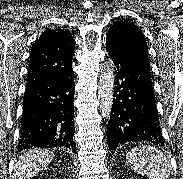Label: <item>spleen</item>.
<instances>
[{"label":"spleen","mask_w":183,"mask_h":179,"mask_svg":"<svg viewBox=\"0 0 183 179\" xmlns=\"http://www.w3.org/2000/svg\"><path fill=\"white\" fill-rule=\"evenodd\" d=\"M126 163L134 172L150 179H169L171 174L168 158L152 146L134 147L127 153Z\"/></svg>","instance_id":"obj_1"}]
</instances>
